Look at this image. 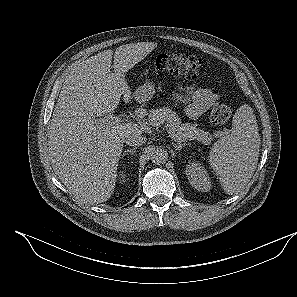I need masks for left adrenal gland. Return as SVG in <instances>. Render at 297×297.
<instances>
[{
  "mask_svg": "<svg viewBox=\"0 0 297 297\" xmlns=\"http://www.w3.org/2000/svg\"><path fill=\"white\" fill-rule=\"evenodd\" d=\"M172 144L176 151L181 150L182 147L186 145V143H180V144L172 143Z\"/></svg>",
  "mask_w": 297,
  "mask_h": 297,
  "instance_id": "1",
  "label": "left adrenal gland"
}]
</instances>
